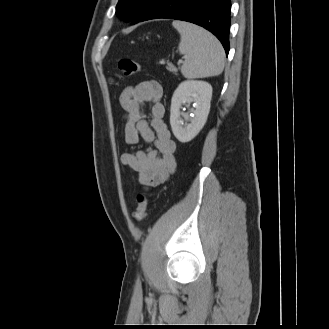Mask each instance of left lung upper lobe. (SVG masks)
<instances>
[{"label":"left lung upper lobe","instance_id":"1","mask_svg":"<svg viewBox=\"0 0 329 329\" xmlns=\"http://www.w3.org/2000/svg\"><path fill=\"white\" fill-rule=\"evenodd\" d=\"M153 0H119L116 11L127 20L136 18L139 12L145 9Z\"/></svg>","mask_w":329,"mask_h":329}]
</instances>
